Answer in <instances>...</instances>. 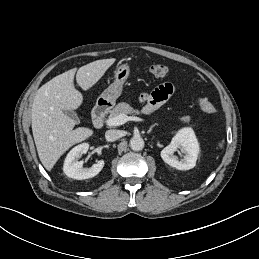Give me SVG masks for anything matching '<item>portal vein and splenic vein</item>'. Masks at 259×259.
Segmentation results:
<instances>
[{
    "mask_svg": "<svg viewBox=\"0 0 259 259\" xmlns=\"http://www.w3.org/2000/svg\"><path fill=\"white\" fill-rule=\"evenodd\" d=\"M127 121L142 122L144 120L140 117H137V116H127L126 114H120L116 117L108 118L105 121V124L107 126H120V125L126 123Z\"/></svg>",
    "mask_w": 259,
    "mask_h": 259,
    "instance_id": "portal-vein-and-splenic-vein-1",
    "label": "portal vein and splenic vein"
}]
</instances>
